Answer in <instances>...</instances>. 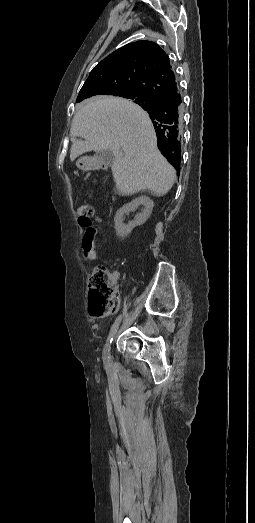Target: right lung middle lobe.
I'll list each match as a JSON object with an SVG mask.
<instances>
[{"instance_id":"1","label":"right lung middle lobe","mask_w":255,"mask_h":523,"mask_svg":"<svg viewBox=\"0 0 255 523\" xmlns=\"http://www.w3.org/2000/svg\"><path fill=\"white\" fill-rule=\"evenodd\" d=\"M116 96L131 99L136 103L141 102V106L144 109H151L154 106V99L143 91L128 90L117 94Z\"/></svg>"}]
</instances>
